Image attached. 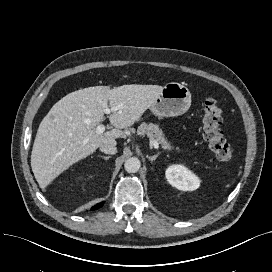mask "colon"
<instances>
[{
  "mask_svg": "<svg viewBox=\"0 0 272 272\" xmlns=\"http://www.w3.org/2000/svg\"><path fill=\"white\" fill-rule=\"evenodd\" d=\"M222 109L214 98H208L203 107V138L216 158L223 162L233 159V149L226 141L222 129Z\"/></svg>",
  "mask_w": 272,
  "mask_h": 272,
  "instance_id": "colon-1",
  "label": "colon"
}]
</instances>
